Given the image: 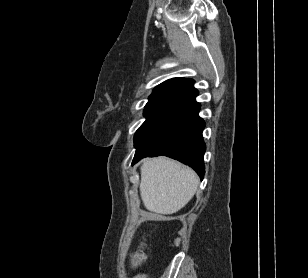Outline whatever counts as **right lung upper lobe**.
Masks as SVG:
<instances>
[{"mask_svg":"<svg viewBox=\"0 0 308 278\" xmlns=\"http://www.w3.org/2000/svg\"><path fill=\"white\" fill-rule=\"evenodd\" d=\"M193 83L194 80L185 78H172L161 83L149 97L144 115H184L198 105L195 101L198 91Z\"/></svg>","mask_w":308,"mask_h":278,"instance_id":"obj_1","label":"right lung upper lobe"}]
</instances>
